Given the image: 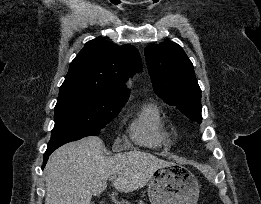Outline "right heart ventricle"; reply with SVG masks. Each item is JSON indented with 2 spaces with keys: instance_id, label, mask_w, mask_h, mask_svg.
<instances>
[{
  "instance_id": "right-heart-ventricle-1",
  "label": "right heart ventricle",
  "mask_w": 261,
  "mask_h": 204,
  "mask_svg": "<svg viewBox=\"0 0 261 204\" xmlns=\"http://www.w3.org/2000/svg\"><path fill=\"white\" fill-rule=\"evenodd\" d=\"M131 139L139 145L158 147L165 143L168 133L160 107L147 102L141 106L129 125Z\"/></svg>"
}]
</instances>
